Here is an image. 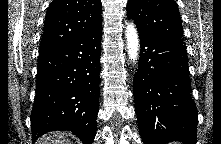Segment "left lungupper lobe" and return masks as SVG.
Instances as JSON below:
<instances>
[{"instance_id":"1","label":"left lung upper lobe","mask_w":221,"mask_h":144,"mask_svg":"<svg viewBox=\"0 0 221 144\" xmlns=\"http://www.w3.org/2000/svg\"><path fill=\"white\" fill-rule=\"evenodd\" d=\"M127 16L139 33L183 43L180 13L174 0H129Z\"/></svg>"}]
</instances>
